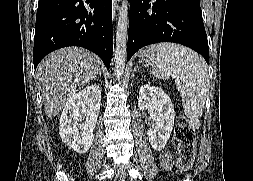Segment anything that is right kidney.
<instances>
[{
    "mask_svg": "<svg viewBox=\"0 0 253 181\" xmlns=\"http://www.w3.org/2000/svg\"><path fill=\"white\" fill-rule=\"evenodd\" d=\"M100 106L101 91L97 85L77 92L64 105L59 134L62 141L79 154L86 153L93 143Z\"/></svg>",
    "mask_w": 253,
    "mask_h": 181,
    "instance_id": "obj_1",
    "label": "right kidney"
}]
</instances>
